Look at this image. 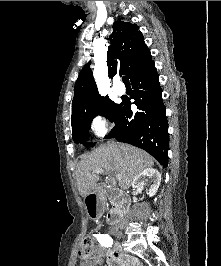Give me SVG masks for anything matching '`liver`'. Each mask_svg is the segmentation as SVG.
Listing matches in <instances>:
<instances>
[{"mask_svg": "<svg viewBox=\"0 0 221 266\" xmlns=\"http://www.w3.org/2000/svg\"><path fill=\"white\" fill-rule=\"evenodd\" d=\"M154 165V159L145 151L127 144L108 143L83 156L76 167V184L82 197H87L88 189H94L99 181L98 174L91 173L100 168L105 173L121 175L118 185L127 190L135 177Z\"/></svg>", "mask_w": 221, "mask_h": 266, "instance_id": "obj_1", "label": "liver"}]
</instances>
